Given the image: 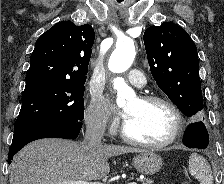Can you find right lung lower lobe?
<instances>
[{
    "mask_svg": "<svg viewBox=\"0 0 224 184\" xmlns=\"http://www.w3.org/2000/svg\"><path fill=\"white\" fill-rule=\"evenodd\" d=\"M82 127L81 122L69 121H42L27 125L14 132L12 145L9 150L8 162L11 163L13 156L26 144L41 138H65L76 139Z\"/></svg>",
    "mask_w": 224,
    "mask_h": 184,
    "instance_id": "right-lung-lower-lobe-1",
    "label": "right lung lower lobe"
}]
</instances>
